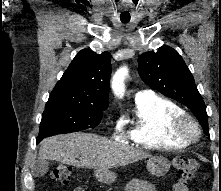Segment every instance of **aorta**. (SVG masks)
Segmentation results:
<instances>
[{"label":"aorta","mask_w":221,"mask_h":191,"mask_svg":"<svg viewBox=\"0 0 221 191\" xmlns=\"http://www.w3.org/2000/svg\"><path fill=\"white\" fill-rule=\"evenodd\" d=\"M128 74L127 67H121L112 78L111 87L117 97L122 98L125 93V78Z\"/></svg>","instance_id":"1"}]
</instances>
